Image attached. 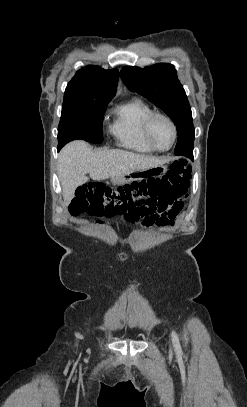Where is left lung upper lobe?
Segmentation results:
<instances>
[{
  "label": "left lung upper lobe",
  "instance_id": "5c2ea615",
  "mask_svg": "<svg viewBox=\"0 0 247 407\" xmlns=\"http://www.w3.org/2000/svg\"><path fill=\"white\" fill-rule=\"evenodd\" d=\"M120 76L131 91L162 109L177 126L176 155L193 158L195 129L192 112L173 65L158 63L144 69L126 66Z\"/></svg>",
  "mask_w": 247,
  "mask_h": 407
}]
</instances>
